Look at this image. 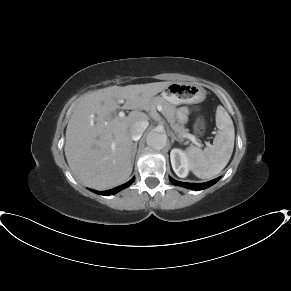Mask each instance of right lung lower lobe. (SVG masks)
Here are the masks:
<instances>
[{"label": "right lung lower lobe", "instance_id": "right-lung-lower-lobe-1", "mask_svg": "<svg viewBox=\"0 0 291 291\" xmlns=\"http://www.w3.org/2000/svg\"><path fill=\"white\" fill-rule=\"evenodd\" d=\"M134 180H135V178H132V179H131L130 181H128L127 183H125V184H123V185H121V186H118V187H116V188H113V189H111V190H107V191H95V190H91V191H93V192H95V193H97V194H100V195H106V196H108V195H112V194H115V193H117L118 191H120V190H122V189L128 187L129 185H131V184L133 183Z\"/></svg>", "mask_w": 291, "mask_h": 291}]
</instances>
